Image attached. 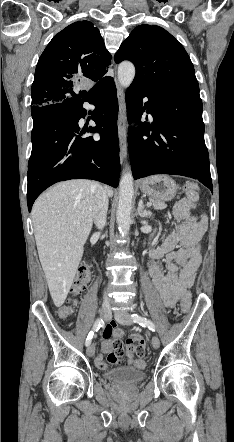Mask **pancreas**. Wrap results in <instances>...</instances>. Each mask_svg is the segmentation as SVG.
Listing matches in <instances>:
<instances>
[{
    "label": "pancreas",
    "instance_id": "cf45deb5",
    "mask_svg": "<svg viewBox=\"0 0 234 442\" xmlns=\"http://www.w3.org/2000/svg\"><path fill=\"white\" fill-rule=\"evenodd\" d=\"M150 202L153 204L155 210H162L167 206L163 201L157 199H150Z\"/></svg>",
    "mask_w": 234,
    "mask_h": 442
}]
</instances>
